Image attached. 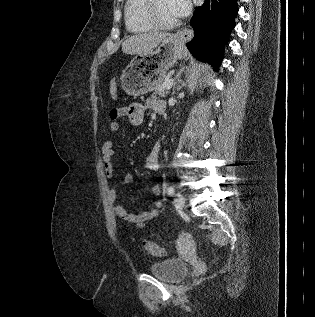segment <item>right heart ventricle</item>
<instances>
[{"label": "right heart ventricle", "mask_w": 315, "mask_h": 317, "mask_svg": "<svg viewBox=\"0 0 315 317\" xmlns=\"http://www.w3.org/2000/svg\"><path fill=\"white\" fill-rule=\"evenodd\" d=\"M144 4L145 0H126L124 20L128 31L143 33L153 28L144 17Z\"/></svg>", "instance_id": "e07e8e85"}]
</instances>
